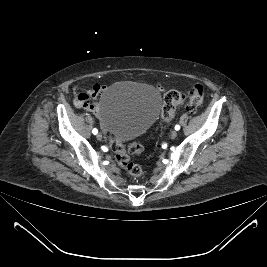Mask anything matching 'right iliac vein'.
I'll use <instances>...</instances> for the list:
<instances>
[{"instance_id": "obj_1", "label": "right iliac vein", "mask_w": 267, "mask_h": 267, "mask_svg": "<svg viewBox=\"0 0 267 267\" xmlns=\"http://www.w3.org/2000/svg\"><path fill=\"white\" fill-rule=\"evenodd\" d=\"M96 138H97L99 141H101V140H102V138H103V136H102V134H101V133H98V134H97V136H96Z\"/></svg>"}]
</instances>
